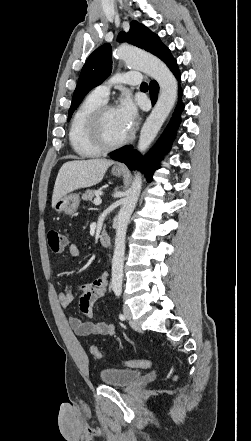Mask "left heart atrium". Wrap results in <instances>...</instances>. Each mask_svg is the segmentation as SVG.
Masks as SVG:
<instances>
[{"mask_svg": "<svg viewBox=\"0 0 251 441\" xmlns=\"http://www.w3.org/2000/svg\"><path fill=\"white\" fill-rule=\"evenodd\" d=\"M119 118L127 131L134 128L137 123L138 112L134 102L126 98L116 108Z\"/></svg>", "mask_w": 251, "mask_h": 441, "instance_id": "39dd6f15", "label": "left heart atrium"}]
</instances>
